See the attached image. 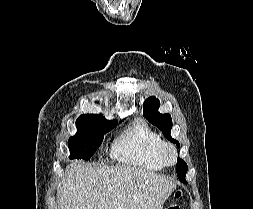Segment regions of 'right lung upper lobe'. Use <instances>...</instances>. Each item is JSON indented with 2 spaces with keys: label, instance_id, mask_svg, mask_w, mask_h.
I'll return each instance as SVG.
<instances>
[{
  "label": "right lung upper lobe",
  "instance_id": "cb5924a9",
  "mask_svg": "<svg viewBox=\"0 0 253 209\" xmlns=\"http://www.w3.org/2000/svg\"><path fill=\"white\" fill-rule=\"evenodd\" d=\"M87 117H99V118L105 119L104 117H102V116H100V115H95V114H83V115H81L77 120L83 119V118H87ZM105 120H106V119H105Z\"/></svg>",
  "mask_w": 253,
  "mask_h": 209
}]
</instances>
